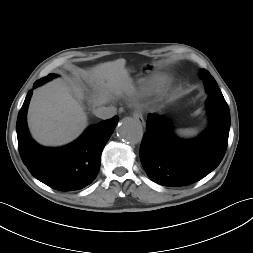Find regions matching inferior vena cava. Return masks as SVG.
I'll use <instances>...</instances> for the list:
<instances>
[{
	"label": "inferior vena cava",
	"mask_w": 253,
	"mask_h": 253,
	"mask_svg": "<svg viewBox=\"0 0 253 253\" xmlns=\"http://www.w3.org/2000/svg\"><path fill=\"white\" fill-rule=\"evenodd\" d=\"M115 107H98L95 109L94 114L101 119H109L116 115Z\"/></svg>",
	"instance_id": "1"
}]
</instances>
